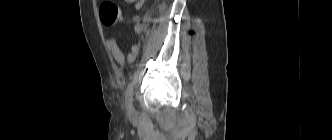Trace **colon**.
<instances>
[{
    "instance_id": "5ec220e1",
    "label": "colon",
    "mask_w": 332,
    "mask_h": 140,
    "mask_svg": "<svg viewBox=\"0 0 332 140\" xmlns=\"http://www.w3.org/2000/svg\"><path fill=\"white\" fill-rule=\"evenodd\" d=\"M100 18L104 25L114 26L122 21L119 6L111 0H104L99 8Z\"/></svg>"
}]
</instances>
